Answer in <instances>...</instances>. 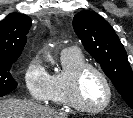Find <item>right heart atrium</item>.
<instances>
[{
  "label": "right heart atrium",
  "instance_id": "1",
  "mask_svg": "<svg viewBox=\"0 0 133 118\" xmlns=\"http://www.w3.org/2000/svg\"><path fill=\"white\" fill-rule=\"evenodd\" d=\"M24 83L30 97L39 103H47L51 95V76L41 61L31 59L24 70Z\"/></svg>",
  "mask_w": 133,
  "mask_h": 118
}]
</instances>
